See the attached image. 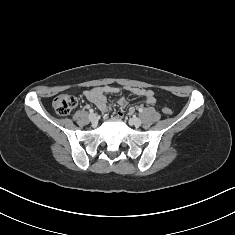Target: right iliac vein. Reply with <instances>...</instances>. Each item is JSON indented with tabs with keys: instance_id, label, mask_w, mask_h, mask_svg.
<instances>
[{
	"instance_id": "obj_1",
	"label": "right iliac vein",
	"mask_w": 235,
	"mask_h": 235,
	"mask_svg": "<svg viewBox=\"0 0 235 235\" xmlns=\"http://www.w3.org/2000/svg\"><path fill=\"white\" fill-rule=\"evenodd\" d=\"M89 120L92 122V123H96L98 121V118H97V115L92 113L89 115Z\"/></svg>"
}]
</instances>
